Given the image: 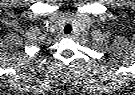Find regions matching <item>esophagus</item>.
I'll return each mask as SVG.
<instances>
[{
	"instance_id": "34e87169",
	"label": "esophagus",
	"mask_w": 135,
	"mask_h": 95,
	"mask_svg": "<svg viewBox=\"0 0 135 95\" xmlns=\"http://www.w3.org/2000/svg\"><path fill=\"white\" fill-rule=\"evenodd\" d=\"M73 36H74L73 34H65L64 35L65 38H73Z\"/></svg>"
}]
</instances>
